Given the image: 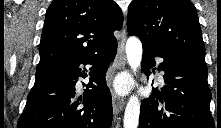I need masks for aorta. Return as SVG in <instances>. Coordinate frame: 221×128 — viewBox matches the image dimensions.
I'll return each mask as SVG.
<instances>
[{"instance_id":"aorta-1","label":"aorta","mask_w":221,"mask_h":128,"mask_svg":"<svg viewBox=\"0 0 221 128\" xmlns=\"http://www.w3.org/2000/svg\"><path fill=\"white\" fill-rule=\"evenodd\" d=\"M127 61L136 74L142 61V43L139 38L131 36L126 42ZM140 115V101L136 95H132L125 108L124 128H137Z\"/></svg>"}]
</instances>
